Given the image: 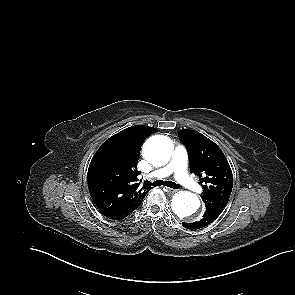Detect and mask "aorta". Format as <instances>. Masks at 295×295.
Wrapping results in <instances>:
<instances>
[{"label": "aorta", "instance_id": "aorta-1", "mask_svg": "<svg viewBox=\"0 0 295 295\" xmlns=\"http://www.w3.org/2000/svg\"><path fill=\"white\" fill-rule=\"evenodd\" d=\"M171 153V142L162 135L150 137L144 145L145 157L154 166L167 164ZM171 208L181 220L194 222L200 218V200L194 193L188 191L177 192L172 198Z\"/></svg>", "mask_w": 295, "mask_h": 295}]
</instances>
